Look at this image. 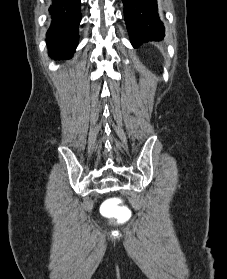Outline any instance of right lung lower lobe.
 <instances>
[{
	"mask_svg": "<svg viewBox=\"0 0 227 279\" xmlns=\"http://www.w3.org/2000/svg\"><path fill=\"white\" fill-rule=\"evenodd\" d=\"M49 13L52 19L46 34L49 55L54 59H69L79 39L80 0H52Z\"/></svg>",
	"mask_w": 227,
	"mask_h": 279,
	"instance_id": "98d812e1",
	"label": "right lung lower lobe"
}]
</instances>
